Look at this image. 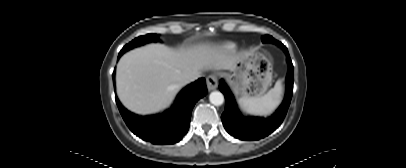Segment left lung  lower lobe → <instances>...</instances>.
<instances>
[{"instance_id":"0a47b994","label":"left lung lower lobe","mask_w":406,"mask_h":168,"mask_svg":"<svg viewBox=\"0 0 406 168\" xmlns=\"http://www.w3.org/2000/svg\"><path fill=\"white\" fill-rule=\"evenodd\" d=\"M282 48L287 55L289 71L286 77L287 84L285 98L273 116L269 118L253 116L243 117L237 108L233 94L226 83L223 80H220L219 89L224 93L226 101L225 110L221 115V120L226 131L235 138L241 140H259L271 134L283 122L292 98L294 72L289 52L284 45H282Z\"/></svg>"}]
</instances>
